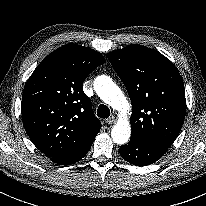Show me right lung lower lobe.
I'll return each instance as SVG.
<instances>
[{
  "mask_svg": "<svg viewBox=\"0 0 206 206\" xmlns=\"http://www.w3.org/2000/svg\"><path fill=\"white\" fill-rule=\"evenodd\" d=\"M94 139L88 141L76 150L66 153L64 155L52 158L51 160L59 165H70L81 160L91 148Z\"/></svg>",
  "mask_w": 206,
  "mask_h": 206,
  "instance_id": "1",
  "label": "right lung lower lobe"
}]
</instances>
